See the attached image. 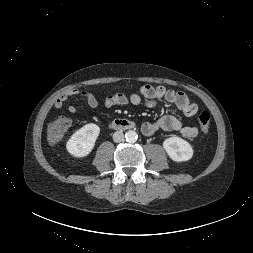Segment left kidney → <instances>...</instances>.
Segmentation results:
<instances>
[{
	"label": "left kidney",
	"instance_id": "obj_1",
	"mask_svg": "<svg viewBox=\"0 0 253 253\" xmlns=\"http://www.w3.org/2000/svg\"><path fill=\"white\" fill-rule=\"evenodd\" d=\"M163 148L169 157L176 162L190 160L193 156L192 146L179 137H170L163 142Z\"/></svg>",
	"mask_w": 253,
	"mask_h": 253
}]
</instances>
